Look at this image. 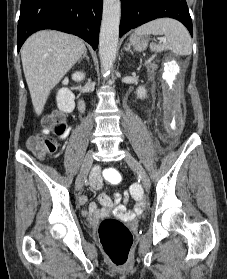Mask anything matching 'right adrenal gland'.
<instances>
[{
  "instance_id": "right-adrenal-gland-1",
  "label": "right adrenal gland",
  "mask_w": 227,
  "mask_h": 279,
  "mask_svg": "<svg viewBox=\"0 0 227 279\" xmlns=\"http://www.w3.org/2000/svg\"><path fill=\"white\" fill-rule=\"evenodd\" d=\"M84 58L89 62V57L87 56V50L85 49L83 56L78 60V63H80Z\"/></svg>"
}]
</instances>
